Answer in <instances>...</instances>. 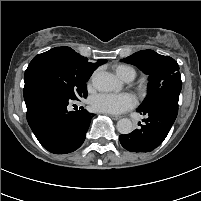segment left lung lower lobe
I'll return each mask as SVG.
<instances>
[{
  "label": "left lung lower lobe",
  "mask_w": 201,
  "mask_h": 201,
  "mask_svg": "<svg viewBox=\"0 0 201 201\" xmlns=\"http://www.w3.org/2000/svg\"><path fill=\"white\" fill-rule=\"evenodd\" d=\"M141 115H146L140 128L130 134L120 135L121 145L131 152H150L157 148L168 135L178 114V100L161 98L153 104L138 108Z\"/></svg>",
  "instance_id": "obj_1"
}]
</instances>
